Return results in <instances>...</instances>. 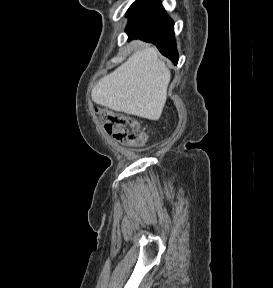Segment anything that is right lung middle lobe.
Listing matches in <instances>:
<instances>
[{
	"label": "right lung middle lobe",
	"instance_id": "dd1d6c3e",
	"mask_svg": "<svg viewBox=\"0 0 273 288\" xmlns=\"http://www.w3.org/2000/svg\"><path fill=\"white\" fill-rule=\"evenodd\" d=\"M138 1H139V0L135 1V2L130 6V8L128 9V11H127L126 14H129V13L132 11V9L134 8V6L137 4Z\"/></svg>",
	"mask_w": 273,
	"mask_h": 288
}]
</instances>
